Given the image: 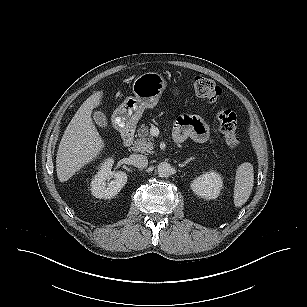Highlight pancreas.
I'll return each mask as SVG.
<instances>
[{
    "label": "pancreas",
    "instance_id": "obj_1",
    "mask_svg": "<svg viewBox=\"0 0 307 307\" xmlns=\"http://www.w3.org/2000/svg\"><path fill=\"white\" fill-rule=\"evenodd\" d=\"M138 138L135 140L132 146V150L136 152H141L144 154L153 153V137L149 134L148 126L142 124L141 127L137 130Z\"/></svg>",
    "mask_w": 307,
    "mask_h": 307
}]
</instances>
